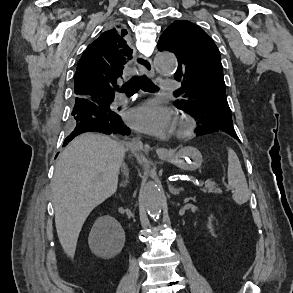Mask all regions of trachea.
Here are the masks:
<instances>
[{"mask_svg":"<svg viewBox=\"0 0 293 293\" xmlns=\"http://www.w3.org/2000/svg\"><path fill=\"white\" fill-rule=\"evenodd\" d=\"M140 88L150 92L157 90V87L150 83L146 75L132 77V79L126 83L122 89L127 95H131L136 93Z\"/></svg>","mask_w":293,"mask_h":293,"instance_id":"1","label":"trachea"}]
</instances>
